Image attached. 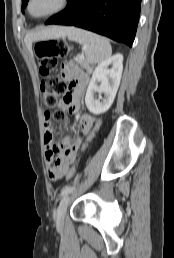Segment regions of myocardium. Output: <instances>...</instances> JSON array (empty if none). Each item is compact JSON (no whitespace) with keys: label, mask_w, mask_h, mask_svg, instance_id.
I'll return each instance as SVG.
<instances>
[{"label":"myocardium","mask_w":174,"mask_h":258,"mask_svg":"<svg viewBox=\"0 0 174 258\" xmlns=\"http://www.w3.org/2000/svg\"><path fill=\"white\" fill-rule=\"evenodd\" d=\"M34 1L35 0H28L27 4H26V11H27L28 15L34 19H43V18L53 16V15L61 12L62 10H64L69 2V0H58L57 5L53 9L46 11L44 13H41V14L35 15V14H33L32 10H31V7H32V4Z\"/></svg>","instance_id":"1"}]
</instances>
